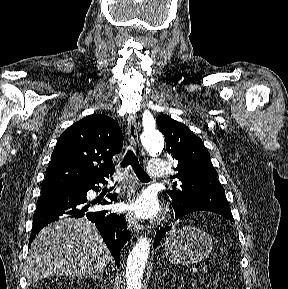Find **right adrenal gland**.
<instances>
[{"instance_id": "1", "label": "right adrenal gland", "mask_w": 288, "mask_h": 289, "mask_svg": "<svg viewBox=\"0 0 288 289\" xmlns=\"http://www.w3.org/2000/svg\"><path fill=\"white\" fill-rule=\"evenodd\" d=\"M102 276H103V271L99 272L97 275L92 276V279L96 280L98 282V285L100 286L101 289H103L101 280H102Z\"/></svg>"}]
</instances>
